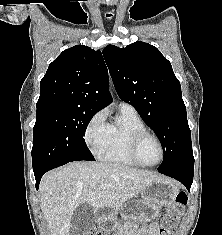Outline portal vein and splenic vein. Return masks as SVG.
I'll list each match as a JSON object with an SVG mask.
<instances>
[{
    "label": "portal vein and splenic vein",
    "instance_id": "obj_1",
    "mask_svg": "<svg viewBox=\"0 0 222 235\" xmlns=\"http://www.w3.org/2000/svg\"><path fill=\"white\" fill-rule=\"evenodd\" d=\"M107 187H108L107 184H102V185L100 186L101 189H106Z\"/></svg>",
    "mask_w": 222,
    "mask_h": 235
}]
</instances>
